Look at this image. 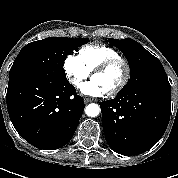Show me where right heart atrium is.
Returning <instances> with one entry per match:
<instances>
[{"label": "right heart atrium", "mask_w": 178, "mask_h": 178, "mask_svg": "<svg viewBox=\"0 0 178 178\" xmlns=\"http://www.w3.org/2000/svg\"><path fill=\"white\" fill-rule=\"evenodd\" d=\"M67 80L75 87H79L90 75L79 56L68 55L63 63Z\"/></svg>", "instance_id": "d8ad5b80"}]
</instances>
